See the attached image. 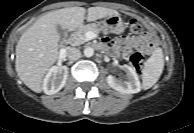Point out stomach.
Returning <instances> with one entry per match:
<instances>
[{
	"instance_id": "0dacf381",
	"label": "stomach",
	"mask_w": 194,
	"mask_h": 133,
	"mask_svg": "<svg viewBox=\"0 0 194 133\" xmlns=\"http://www.w3.org/2000/svg\"><path fill=\"white\" fill-rule=\"evenodd\" d=\"M101 23L103 27L111 33L120 34L125 29L124 22L120 15L107 16Z\"/></svg>"
}]
</instances>
